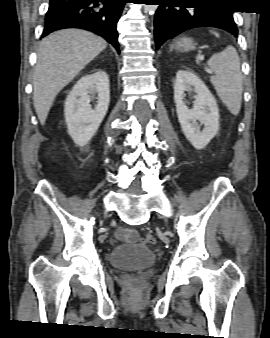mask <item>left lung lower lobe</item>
Wrapping results in <instances>:
<instances>
[{
	"instance_id": "obj_1",
	"label": "left lung lower lobe",
	"mask_w": 270,
	"mask_h": 338,
	"mask_svg": "<svg viewBox=\"0 0 270 338\" xmlns=\"http://www.w3.org/2000/svg\"><path fill=\"white\" fill-rule=\"evenodd\" d=\"M159 7L154 19V35L158 49L166 40L197 27H216L237 37L234 10L224 0H153ZM178 4V5H177ZM186 5H195L193 9Z\"/></svg>"
}]
</instances>
